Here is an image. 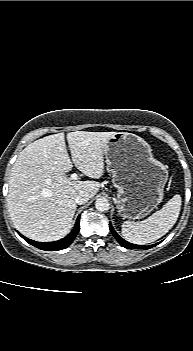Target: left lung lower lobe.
Instances as JSON below:
<instances>
[{
  "label": "left lung lower lobe",
  "instance_id": "1",
  "mask_svg": "<svg viewBox=\"0 0 193 351\" xmlns=\"http://www.w3.org/2000/svg\"><path fill=\"white\" fill-rule=\"evenodd\" d=\"M110 231L113 234V236L117 239V241L120 243L121 246L127 248V249H149L151 247L156 246L157 244L154 245H149V246H142V245H136V244H132L129 243L127 241H125L124 239H122L117 233L116 231L113 229L112 225L110 224Z\"/></svg>",
  "mask_w": 193,
  "mask_h": 351
}]
</instances>
